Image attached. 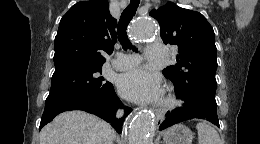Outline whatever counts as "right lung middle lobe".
Instances as JSON below:
<instances>
[{
  "label": "right lung middle lobe",
  "instance_id": "1",
  "mask_svg": "<svg viewBox=\"0 0 260 144\" xmlns=\"http://www.w3.org/2000/svg\"><path fill=\"white\" fill-rule=\"evenodd\" d=\"M102 65L72 64L55 69L46 100L69 97H93L107 93L113 85L100 76Z\"/></svg>",
  "mask_w": 260,
  "mask_h": 144
}]
</instances>
